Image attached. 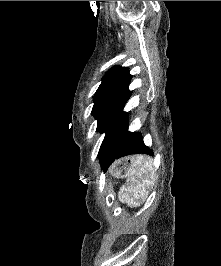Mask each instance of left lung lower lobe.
I'll return each instance as SVG.
<instances>
[{"label":"left lung lower lobe","mask_w":221,"mask_h":266,"mask_svg":"<svg viewBox=\"0 0 221 266\" xmlns=\"http://www.w3.org/2000/svg\"><path fill=\"white\" fill-rule=\"evenodd\" d=\"M125 104L114 116L106 130L98 153L102 169H106L114 160L127 155L153 154L152 150L145 146L140 133L128 131V113L123 112Z\"/></svg>","instance_id":"left-lung-lower-lobe-1"}]
</instances>
